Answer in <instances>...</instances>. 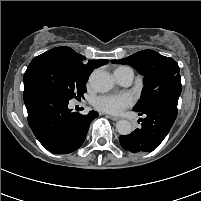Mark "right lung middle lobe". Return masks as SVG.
I'll use <instances>...</instances> for the list:
<instances>
[{"label":"right lung middle lobe","mask_w":201,"mask_h":201,"mask_svg":"<svg viewBox=\"0 0 201 201\" xmlns=\"http://www.w3.org/2000/svg\"><path fill=\"white\" fill-rule=\"evenodd\" d=\"M86 82L76 76L60 56L53 54L33 59L24 74V85L47 87L68 100L83 96Z\"/></svg>","instance_id":"right-lung-middle-lobe-1"}]
</instances>
